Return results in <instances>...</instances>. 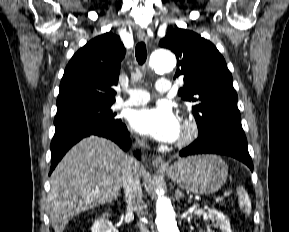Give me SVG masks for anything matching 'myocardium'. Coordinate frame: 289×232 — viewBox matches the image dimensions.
I'll return each instance as SVG.
<instances>
[{"mask_svg":"<svg viewBox=\"0 0 289 232\" xmlns=\"http://www.w3.org/2000/svg\"><path fill=\"white\" fill-rule=\"evenodd\" d=\"M198 134V126L192 119H185L181 126L179 145L184 146L192 142Z\"/></svg>","mask_w":289,"mask_h":232,"instance_id":"f54148a6","label":"myocardium"}]
</instances>
